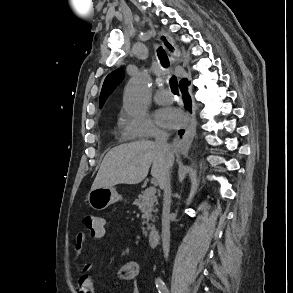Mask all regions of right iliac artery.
Listing matches in <instances>:
<instances>
[{"label": "right iliac artery", "instance_id": "82829eb1", "mask_svg": "<svg viewBox=\"0 0 293 293\" xmlns=\"http://www.w3.org/2000/svg\"><path fill=\"white\" fill-rule=\"evenodd\" d=\"M156 287L159 293H168L165 283L160 278L156 279Z\"/></svg>", "mask_w": 293, "mask_h": 293}]
</instances>
